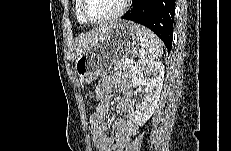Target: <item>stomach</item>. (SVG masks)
<instances>
[{
  "label": "stomach",
  "instance_id": "obj_1",
  "mask_svg": "<svg viewBox=\"0 0 231 151\" xmlns=\"http://www.w3.org/2000/svg\"><path fill=\"white\" fill-rule=\"evenodd\" d=\"M139 46V34L133 22L112 23L98 44L76 57L75 70L80 81L90 84L118 60L135 53Z\"/></svg>",
  "mask_w": 231,
  "mask_h": 151
}]
</instances>
